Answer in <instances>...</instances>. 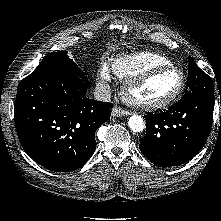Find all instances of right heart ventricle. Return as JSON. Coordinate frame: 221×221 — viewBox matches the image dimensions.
Listing matches in <instances>:
<instances>
[{"label":"right heart ventricle","instance_id":"obj_1","mask_svg":"<svg viewBox=\"0 0 221 221\" xmlns=\"http://www.w3.org/2000/svg\"><path fill=\"white\" fill-rule=\"evenodd\" d=\"M173 65L167 57L153 52H135L117 56L111 63L114 74L120 79H128L145 70Z\"/></svg>","mask_w":221,"mask_h":221}]
</instances>
